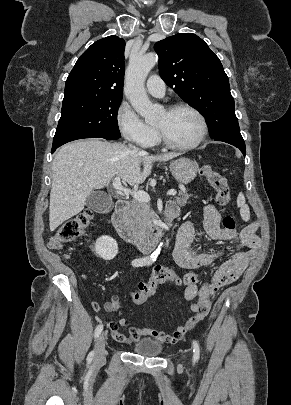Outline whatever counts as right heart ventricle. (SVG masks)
<instances>
[{
	"mask_svg": "<svg viewBox=\"0 0 291 405\" xmlns=\"http://www.w3.org/2000/svg\"><path fill=\"white\" fill-rule=\"evenodd\" d=\"M156 142V139L154 140L153 144Z\"/></svg>",
	"mask_w": 291,
	"mask_h": 405,
	"instance_id": "right-heart-ventricle-1",
	"label": "right heart ventricle"
}]
</instances>
